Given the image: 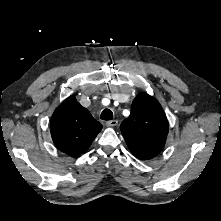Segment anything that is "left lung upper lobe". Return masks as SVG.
Wrapping results in <instances>:
<instances>
[{"instance_id": "1", "label": "left lung upper lobe", "mask_w": 221, "mask_h": 221, "mask_svg": "<svg viewBox=\"0 0 221 221\" xmlns=\"http://www.w3.org/2000/svg\"><path fill=\"white\" fill-rule=\"evenodd\" d=\"M121 133L132 154L149 160L164 148L168 121L160 103L140 93L132 102L131 113L120 125Z\"/></svg>"}]
</instances>
